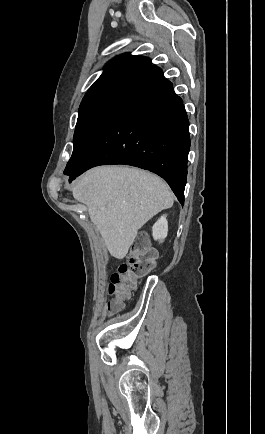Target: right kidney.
<instances>
[{
  "label": "right kidney",
  "mask_w": 265,
  "mask_h": 434,
  "mask_svg": "<svg viewBox=\"0 0 265 434\" xmlns=\"http://www.w3.org/2000/svg\"><path fill=\"white\" fill-rule=\"evenodd\" d=\"M167 234L168 222L166 220V216H161L160 220H158V222H156L152 228V236L154 240H160V242H163Z\"/></svg>",
  "instance_id": "1"
}]
</instances>
